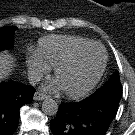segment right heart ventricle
<instances>
[{"instance_id":"right-heart-ventricle-1","label":"right heart ventricle","mask_w":135,"mask_h":135,"mask_svg":"<svg viewBox=\"0 0 135 135\" xmlns=\"http://www.w3.org/2000/svg\"><path fill=\"white\" fill-rule=\"evenodd\" d=\"M92 42L78 36L49 35L39 40L37 53L46 64L55 67L72 52Z\"/></svg>"}]
</instances>
